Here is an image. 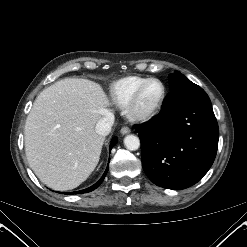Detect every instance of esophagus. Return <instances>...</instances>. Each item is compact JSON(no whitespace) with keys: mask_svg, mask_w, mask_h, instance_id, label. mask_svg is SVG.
Instances as JSON below:
<instances>
[{"mask_svg":"<svg viewBox=\"0 0 247 247\" xmlns=\"http://www.w3.org/2000/svg\"><path fill=\"white\" fill-rule=\"evenodd\" d=\"M130 131L131 130L128 127H125V126L122 127L121 130H120L121 134H123V135L130 133Z\"/></svg>","mask_w":247,"mask_h":247,"instance_id":"34e87169","label":"esophagus"}]
</instances>
